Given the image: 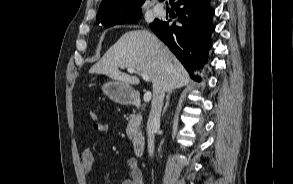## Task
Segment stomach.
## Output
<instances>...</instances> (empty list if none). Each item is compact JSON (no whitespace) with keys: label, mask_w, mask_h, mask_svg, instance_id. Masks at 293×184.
Wrapping results in <instances>:
<instances>
[{"label":"stomach","mask_w":293,"mask_h":184,"mask_svg":"<svg viewBox=\"0 0 293 184\" xmlns=\"http://www.w3.org/2000/svg\"><path fill=\"white\" fill-rule=\"evenodd\" d=\"M102 91L112 101L119 104H130L137 96V92L129 84L120 81L103 84Z\"/></svg>","instance_id":"0dacf381"}]
</instances>
